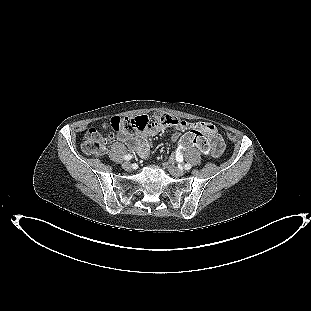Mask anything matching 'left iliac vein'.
I'll list each match as a JSON object with an SVG mask.
<instances>
[{"mask_svg":"<svg viewBox=\"0 0 311 311\" xmlns=\"http://www.w3.org/2000/svg\"><path fill=\"white\" fill-rule=\"evenodd\" d=\"M168 170L170 172L171 175L175 176V177H180L182 175H184V170L172 165V164H169L168 165Z\"/></svg>","mask_w":311,"mask_h":311,"instance_id":"1","label":"left iliac vein"}]
</instances>
